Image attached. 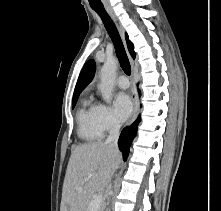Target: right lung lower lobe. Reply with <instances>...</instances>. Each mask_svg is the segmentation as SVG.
I'll list each match as a JSON object with an SVG mask.
<instances>
[{"mask_svg":"<svg viewBox=\"0 0 221 211\" xmlns=\"http://www.w3.org/2000/svg\"><path fill=\"white\" fill-rule=\"evenodd\" d=\"M140 121L138 118L131 126L126 127L120 134L118 140V146L120 151L123 153V159L126 160L129 154V148L132 143L133 138L136 135L137 125Z\"/></svg>","mask_w":221,"mask_h":211,"instance_id":"right-lung-lower-lobe-1","label":"right lung lower lobe"}]
</instances>
